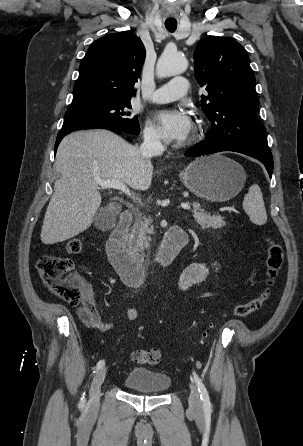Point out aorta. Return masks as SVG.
<instances>
[{
    "mask_svg": "<svg viewBox=\"0 0 303 446\" xmlns=\"http://www.w3.org/2000/svg\"><path fill=\"white\" fill-rule=\"evenodd\" d=\"M187 66L188 62L183 56L164 51L157 62L156 74L160 78L182 74Z\"/></svg>",
    "mask_w": 303,
    "mask_h": 446,
    "instance_id": "762f6f07",
    "label": "aorta"
}]
</instances>
